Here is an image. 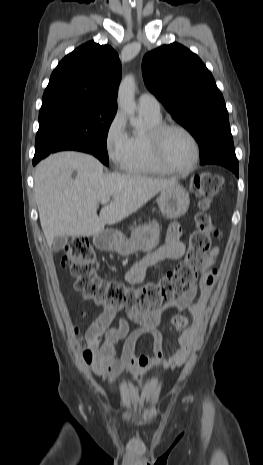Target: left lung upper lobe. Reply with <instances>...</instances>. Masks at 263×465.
<instances>
[{
  "mask_svg": "<svg viewBox=\"0 0 263 465\" xmlns=\"http://www.w3.org/2000/svg\"><path fill=\"white\" fill-rule=\"evenodd\" d=\"M142 70L147 88L198 142L201 162L235 153L224 98L196 54L164 45L144 56Z\"/></svg>",
  "mask_w": 263,
  "mask_h": 465,
  "instance_id": "1",
  "label": "left lung upper lobe"
}]
</instances>
